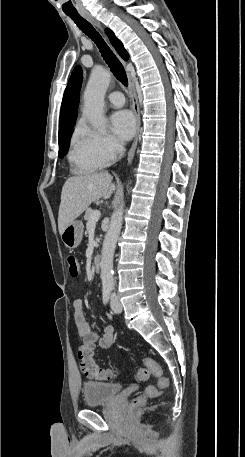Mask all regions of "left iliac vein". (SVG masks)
<instances>
[{"mask_svg": "<svg viewBox=\"0 0 245 457\" xmlns=\"http://www.w3.org/2000/svg\"><path fill=\"white\" fill-rule=\"evenodd\" d=\"M111 309L116 313L120 314L123 310L122 304L116 294L111 295Z\"/></svg>", "mask_w": 245, "mask_h": 457, "instance_id": "left-iliac-vein-1", "label": "left iliac vein"}]
</instances>
